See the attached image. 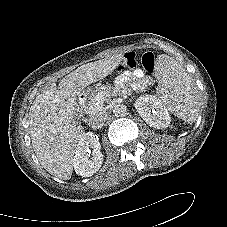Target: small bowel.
<instances>
[{
	"mask_svg": "<svg viewBox=\"0 0 227 227\" xmlns=\"http://www.w3.org/2000/svg\"><path fill=\"white\" fill-rule=\"evenodd\" d=\"M118 83L121 86H129L132 89H142L150 85L151 79L141 69H137L132 75L128 73L120 75Z\"/></svg>",
	"mask_w": 227,
	"mask_h": 227,
	"instance_id": "1",
	"label": "small bowel"
}]
</instances>
